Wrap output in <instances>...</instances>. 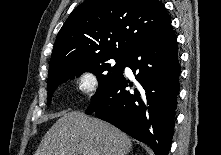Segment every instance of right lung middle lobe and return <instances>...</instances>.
Segmentation results:
<instances>
[{
	"instance_id": "right-lung-middle-lobe-1",
	"label": "right lung middle lobe",
	"mask_w": 221,
	"mask_h": 155,
	"mask_svg": "<svg viewBox=\"0 0 221 155\" xmlns=\"http://www.w3.org/2000/svg\"><path fill=\"white\" fill-rule=\"evenodd\" d=\"M126 57H108L91 61H80L71 66L58 69L49 74L47 81L48 105L51 102L53 92L59 84L83 72H91L96 75L99 82V90L92 97L95 99L104 93L123 71Z\"/></svg>"
}]
</instances>
